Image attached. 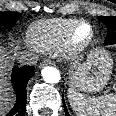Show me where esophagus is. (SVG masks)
Instances as JSON below:
<instances>
[{
	"instance_id": "1",
	"label": "esophagus",
	"mask_w": 116,
	"mask_h": 116,
	"mask_svg": "<svg viewBox=\"0 0 116 116\" xmlns=\"http://www.w3.org/2000/svg\"><path fill=\"white\" fill-rule=\"evenodd\" d=\"M46 65H53V62L50 61V60H46V61H43L41 64H40V68H43L44 66Z\"/></svg>"
}]
</instances>
